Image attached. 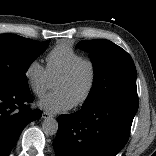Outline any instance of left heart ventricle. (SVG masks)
I'll return each instance as SVG.
<instances>
[{
	"label": "left heart ventricle",
	"mask_w": 156,
	"mask_h": 156,
	"mask_svg": "<svg viewBox=\"0 0 156 156\" xmlns=\"http://www.w3.org/2000/svg\"><path fill=\"white\" fill-rule=\"evenodd\" d=\"M90 80V71L82 66L74 77L68 80H55L53 89L64 93L72 103L76 102L85 92Z\"/></svg>",
	"instance_id": "b2bd125f"
}]
</instances>
